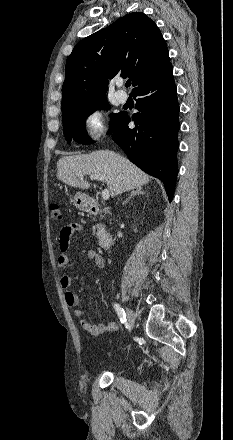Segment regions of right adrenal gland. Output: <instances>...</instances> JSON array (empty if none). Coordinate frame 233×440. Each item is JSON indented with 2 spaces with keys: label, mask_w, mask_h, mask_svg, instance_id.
I'll list each match as a JSON object with an SVG mask.
<instances>
[{
  "label": "right adrenal gland",
  "mask_w": 233,
  "mask_h": 440,
  "mask_svg": "<svg viewBox=\"0 0 233 440\" xmlns=\"http://www.w3.org/2000/svg\"><path fill=\"white\" fill-rule=\"evenodd\" d=\"M143 194H145V192H143L142 191V188L141 187H139V188H137L135 191H132L131 192V195L122 203V205H125V204H127L128 203V201L132 198V197H134V196H136V195H143Z\"/></svg>",
  "instance_id": "obj_1"
}]
</instances>
